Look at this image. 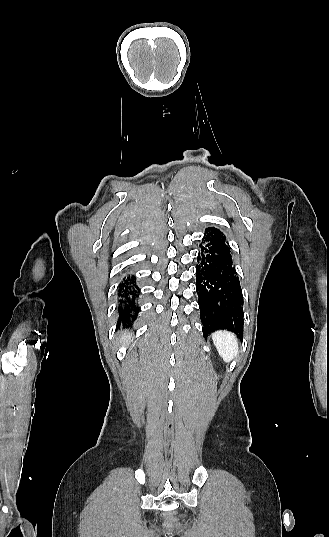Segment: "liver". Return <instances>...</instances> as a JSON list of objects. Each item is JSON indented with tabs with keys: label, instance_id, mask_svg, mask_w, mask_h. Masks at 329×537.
I'll return each instance as SVG.
<instances>
[{
	"label": "liver",
	"instance_id": "liver-1",
	"mask_svg": "<svg viewBox=\"0 0 329 537\" xmlns=\"http://www.w3.org/2000/svg\"><path fill=\"white\" fill-rule=\"evenodd\" d=\"M128 338H129V336H124V337L122 338V340H123V341H126Z\"/></svg>",
	"mask_w": 329,
	"mask_h": 537
}]
</instances>
